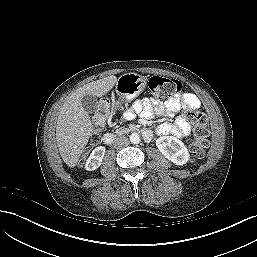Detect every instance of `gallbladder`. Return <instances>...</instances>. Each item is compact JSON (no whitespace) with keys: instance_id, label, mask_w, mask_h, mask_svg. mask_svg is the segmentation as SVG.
<instances>
[{"instance_id":"obj_1","label":"gallbladder","mask_w":257,"mask_h":257,"mask_svg":"<svg viewBox=\"0 0 257 257\" xmlns=\"http://www.w3.org/2000/svg\"><path fill=\"white\" fill-rule=\"evenodd\" d=\"M81 103L84 110L89 114L96 112L98 108V100L94 95H85L82 98Z\"/></svg>"}]
</instances>
